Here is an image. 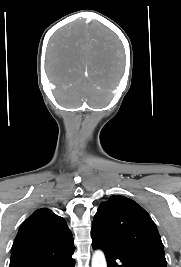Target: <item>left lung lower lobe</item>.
<instances>
[{"mask_svg": "<svg viewBox=\"0 0 181 267\" xmlns=\"http://www.w3.org/2000/svg\"><path fill=\"white\" fill-rule=\"evenodd\" d=\"M92 247L104 251L108 267H157L106 240L92 238Z\"/></svg>", "mask_w": 181, "mask_h": 267, "instance_id": "1", "label": "left lung lower lobe"}]
</instances>
